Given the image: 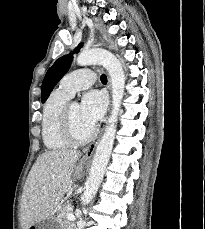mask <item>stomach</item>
Returning a JSON list of instances; mask_svg holds the SVG:
<instances>
[{"label":"stomach","mask_w":205,"mask_h":229,"mask_svg":"<svg viewBox=\"0 0 205 229\" xmlns=\"http://www.w3.org/2000/svg\"><path fill=\"white\" fill-rule=\"evenodd\" d=\"M85 164L81 163L80 166L75 171V176L80 177L84 170ZM29 229H62L61 225L58 223L56 216L51 213L47 218L32 225Z\"/></svg>","instance_id":"stomach-1"}]
</instances>
